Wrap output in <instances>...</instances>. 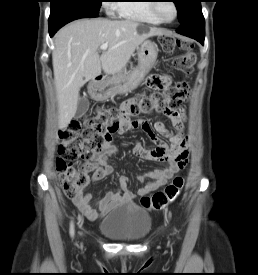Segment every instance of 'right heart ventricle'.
<instances>
[{"label": "right heart ventricle", "instance_id": "e07e8e85", "mask_svg": "<svg viewBox=\"0 0 258 275\" xmlns=\"http://www.w3.org/2000/svg\"><path fill=\"white\" fill-rule=\"evenodd\" d=\"M112 4L117 13L124 18L159 25L161 22L151 9L152 0H123Z\"/></svg>", "mask_w": 258, "mask_h": 275}]
</instances>
